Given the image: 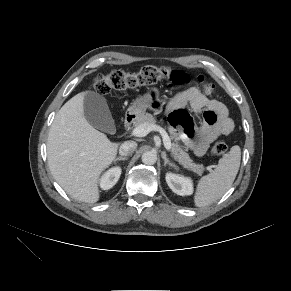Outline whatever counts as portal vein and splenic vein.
<instances>
[{"label": "portal vein and splenic vein", "mask_w": 291, "mask_h": 291, "mask_svg": "<svg viewBox=\"0 0 291 291\" xmlns=\"http://www.w3.org/2000/svg\"><path fill=\"white\" fill-rule=\"evenodd\" d=\"M151 131H158L162 135L164 146L166 150L170 151L172 148L171 140L167 132L158 125H151V124L144 123L138 127H135L132 130L131 135L134 137H144ZM208 170L211 171V167H208Z\"/></svg>", "instance_id": "portal-vein-and-splenic-vein-1"}]
</instances>
